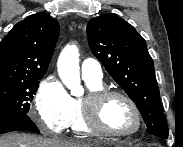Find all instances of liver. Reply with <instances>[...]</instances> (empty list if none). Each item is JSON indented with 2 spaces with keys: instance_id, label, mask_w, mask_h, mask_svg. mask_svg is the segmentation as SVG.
<instances>
[{
  "instance_id": "obj_1",
  "label": "liver",
  "mask_w": 183,
  "mask_h": 147,
  "mask_svg": "<svg viewBox=\"0 0 183 147\" xmlns=\"http://www.w3.org/2000/svg\"><path fill=\"white\" fill-rule=\"evenodd\" d=\"M100 144L98 141L71 142L16 133L0 137V147H97Z\"/></svg>"
}]
</instances>
